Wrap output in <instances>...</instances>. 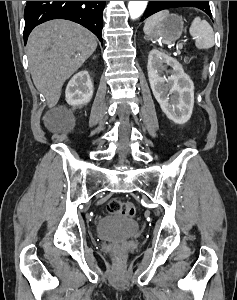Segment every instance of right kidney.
I'll return each instance as SVG.
<instances>
[{"mask_svg":"<svg viewBox=\"0 0 237 300\" xmlns=\"http://www.w3.org/2000/svg\"><path fill=\"white\" fill-rule=\"evenodd\" d=\"M93 95V83L89 77L88 71H80L69 81L65 97L68 105L71 107H81L91 101Z\"/></svg>","mask_w":237,"mask_h":300,"instance_id":"ca27d5eb","label":"right kidney"}]
</instances>
